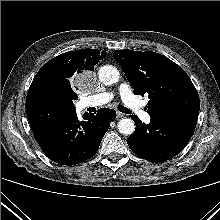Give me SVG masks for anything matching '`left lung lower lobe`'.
I'll use <instances>...</instances> for the list:
<instances>
[{"label": "left lung lower lobe", "instance_id": "obj_1", "mask_svg": "<svg viewBox=\"0 0 220 220\" xmlns=\"http://www.w3.org/2000/svg\"><path fill=\"white\" fill-rule=\"evenodd\" d=\"M135 132L127 139L130 149L151 162H165L179 154L194 133L198 113L175 112L151 117L142 123L135 115Z\"/></svg>", "mask_w": 220, "mask_h": 220}]
</instances>
